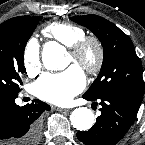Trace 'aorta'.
Here are the masks:
<instances>
[{
    "label": "aorta",
    "instance_id": "aorta-1",
    "mask_svg": "<svg viewBox=\"0 0 145 145\" xmlns=\"http://www.w3.org/2000/svg\"><path fill=\"white\" fill-rule=\"evenodd\" d=\"M66 50L57 42H47L42 51V62L48 70H63L68 63L65 61ZM70 121L74 128L79 131H87L94 124V114L86 107L76 108L70 115Z\"/></svg>",
    "mask_w": 145,
    "mask_h": 145
}]
</instances>
